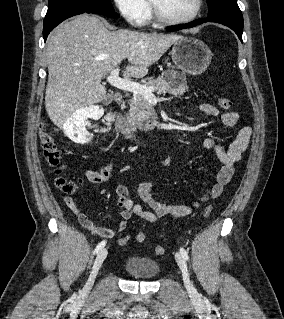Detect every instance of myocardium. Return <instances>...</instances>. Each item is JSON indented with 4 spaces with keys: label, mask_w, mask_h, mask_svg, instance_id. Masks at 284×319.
Listing matches in <instances>:
<instances>
[{
    "label": "myocardium",
    "mask_w": 284,
    "mask_h": 319,
    "mask_svg": "<svg viewBox=\"0 0 284 319\" xmlns=\"http://www.w3.org/2000/svg\"><path fill=\"white\" fill-rule=\"evenodd\" d=\"M150 2V8H151V14L153 18L163 24L168 25H180V24H187L199 17V15L202 12L203 9V0H196V6L193 11V13L187 17L184 18H172L167 15H165L154 3L152 0H149Z\"/></svg>",
    "instance_id": "obj_1"
}]
</instances>
